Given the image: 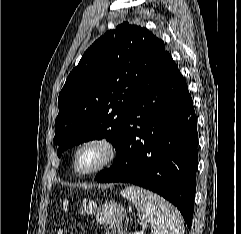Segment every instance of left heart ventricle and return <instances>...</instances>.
Instances as JSON below:
<instances>
[{"label": "left heart ventricle", "mask_w": 241, "mask_h": 234, "mask_svg": "<svg viewBox=\"0 0 241 234\" xmlns=\"http://www.w3.org/2000/svg\"><path fill=\"white\" fill-rule=\"evenodd\" d=\"M103 157V151L96 146H90L83 149L77 159V165L81 170H87L94 167Z\"/></svg>", "instance_id": "left-heart-ventricle-1"}]
</instances>
